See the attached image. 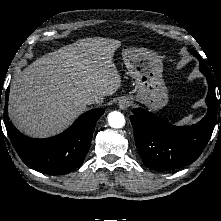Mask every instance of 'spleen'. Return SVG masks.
<instances>
[{"mask_svg": "<svg viewBox=\"0 0 221 221\" xmlns=\"http://www.w3.org/2000/svg\"><path fill=\"white\" fill-rule=\"evenodd\" d=\"M193 114H189L188 116L181 119L179 122H177L178 125H188L193 121Z\"/></svg>", "mask_w": 221, "mask_h": 221, "instance_id": "3e777b00", "label": "spleen"}]
</instances>
